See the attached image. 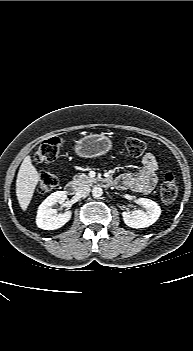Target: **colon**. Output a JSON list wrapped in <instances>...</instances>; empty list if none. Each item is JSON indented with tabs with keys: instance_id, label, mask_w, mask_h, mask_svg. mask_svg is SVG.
Segmentation results:
<instances>
[{
	"instance_id": "5ec220e1",
	"label": "colon",
	"mask_w": 193,
	"mask_h": 351,
	"mask_svg": "<svg viewBox=\"0 0 193 351\" xmlns=\"http://www.w3.org/2000/svg\"><path fill=\"white\" fill-rule=\"evenodd\" d=\"M125 147L129 155L133 157L141 156L146 144L141 139L129 137L125 140ZM63 148V141L59 137H50L43 140L36 150V159L40 162L55 160ZM58 184V176L55 173L45 172L41 175L37 192L45 195L51 192ZM178 194L177 179L172 171H167L160 185V196L166 203L173 202Z\"/></svg>"
}]
</instances>
